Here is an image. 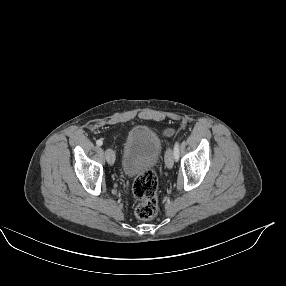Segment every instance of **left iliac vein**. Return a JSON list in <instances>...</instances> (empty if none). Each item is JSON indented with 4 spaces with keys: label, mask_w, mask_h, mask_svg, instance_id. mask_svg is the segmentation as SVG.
I'll list each match as a JSON object with an SVG mask.
<instances>
[{
    "label": "left iliac vein",
    "mask_w": 286,
    "mask_h": 286,
    "mask_svg": "<svg viewBox=\"0 0 286 286\" xmlns=\"http://www.w3.org/2000/svg\"><path fill=\"white\" fill-rule=\"evenodd\" d=\"M165 164L167 168L171 169L174 165V153L172 149H168L165 154Z\"/></svg>",
    "instance_id": "1"
}]
</instances>
